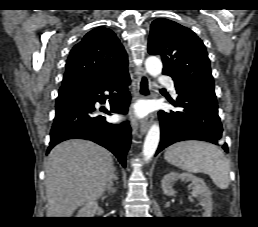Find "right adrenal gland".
<instances>
[{"label": "right adrenal gland", "mask_w": 258, "mask_h": 227, "mask_svg": "<svg viewBox=\"0 0 258 227\" xmlns=\"http://www.w3.org/2000/svg\"><path fill=\"white\" fill-rule=\"evenodd\" d=\"M115 170H116V169L114 168L112 177H111V179L109 180L108 185H107V190H108L109 194L116 192V189L113 188V181H117V180H118V178H117V176H116V173H115Z\"/></svg>", "instance_id": "2a0ac1e0"}]
</instances>
